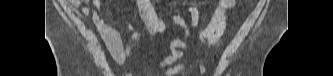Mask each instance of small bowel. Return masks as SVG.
I'll list each match as a JSON object with an SVG mask.
<instances>
[{
  "instance_id": "1",
  "label": "small bowel",
  "mask_w": 333,
  "mask_h": 76,
  "mask_svg": "<svg viewBox=\"0 0 333 76\" xmlns=\"http://www.w3.org/2000/svg\"><path fill=\"white\" fill-rule=\"evenodd\" d=\"M65 2L69 8L77 9L87 1L67 0ZM136 5L139 16L150 33H160L165 30L163 20L156 13L149 0H136ZM234 5L235 0L218 1L211 20L199 34V39L203 44L211 46L219 41L226 28L227 11ZM187 11L191 17V27H197L199 19L198 9L195 6H189ZM81 12L83 15L91 17V21L98 29L108 52L118 64H124L132 49L141 44L140 35L134 32V26L132 24H128L125 28L129 31H133V35L130 42L126 46L123 45L119 28L109 22L104 16L105 13H110V11L103 9L102 1H90L88 5L82 7ZM170 19L174 24L183 29L186 37L190 36V27L183 17L180 15H172ZM186 49H188V44L185 41L181 39L172 40L170 43V54L158 64V67L168 68L173 66L183 58ZM183 68V65H176L167 70L166 75H177Z\"/></svg>"
}]
</instances>
